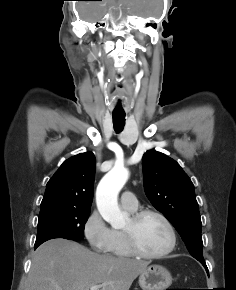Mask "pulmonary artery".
<instances>
[{
    "instance_id": "e3ab8cb5",
    "label": "pulmonary artery",
    "mask_w": 236,
    "mask_h": 290,
    "mask_svg": "<svg viewBox=\"0 0 236 290\" xmlns=\"http://www.w3.org/2000/svg\"><path fill=\"white\" fill-rule=\"evenodd\" d=\"M120 202L123 208L128 210H136L138 207V200L132 191H125L122 193Z\"/></svg>"
}]
</instances>
